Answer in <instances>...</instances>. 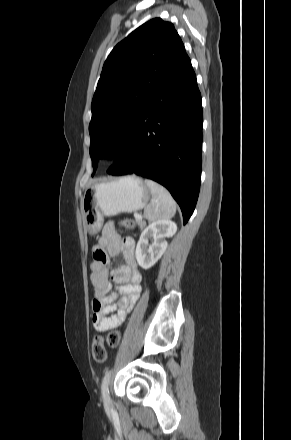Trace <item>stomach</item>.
<instances>
[{
    "instance_id": "1",
    "label": "stomach",
    "mask_w": 291,
    "mask_h": 440,
    "mask_svg": "<svg viewBox=\"0 0 291 440\" xmlns=\"http://www.w3.org/2000/svg\"><path fill=\"white\" fill-rule=\"evenodd\" d=\"M150 197V189L135 175L88 187L81 203L88 232L94 234L102 226L104 216H115L122 212L131 213L143 209Z\"/></svg>"
}]
</instances>
